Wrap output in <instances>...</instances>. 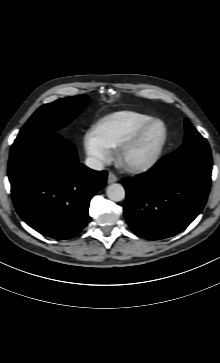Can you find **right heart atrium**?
<instances>
[{"mask_svg":"<svg viewBox=\"0 0 220 363\" xmlns=\"http://www.w3.org/2000/svg\"><path fill=\"white\" fill-rule=\"evenodd\" d=\"M85 153L95 167L108 163L111 159V150L108 145L99 137L96 130L86 132L83 140Z\"/></svg>","mask_w":220,"mask_h":363,"instance_id":"right-heart-atrium-1","label":"right heart atrium"}]
</instances>
